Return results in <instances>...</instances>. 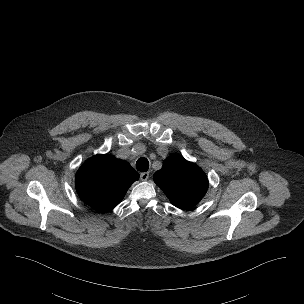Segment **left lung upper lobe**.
Returning a JSON list of instances; mask_svg holds the SVG:
<instances>
[{
  "label": "left lung upper lobe",
  "mask_w": 304,
  "mask_h": 304,
  "mask_svg": "<svg viewBox=\"0 0 304 304\" xmlns=\"http://www.w3.org/2000/svg\"><path fill=\"white\" fill-rule=\"evenodd\" d=\"M154 181L180 209L195 206L208 189V179L203 170L178 155L164 160L162 168L154 174Z\"/></svg>",
  "instance_id": "left-lung-upper-lobe-1"
}]
</instances>
